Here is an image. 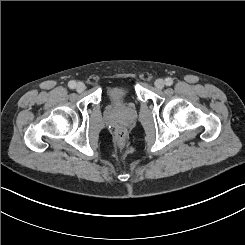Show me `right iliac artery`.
Returning a JSON list of instances; mask_svg holds the SVG:
<instances>
[{"instance_id":"82829eb1","label":"right iliac artery","mask_w":245,"mask_h":245,"mask_svg":"<svg viewBox=\"0 0 245 245\" xmlns=\"http://www.w3.org/2000/svg\"><path fill=\"white\" fill-rule=\"evenodd\" d=\"M69 88L74 89L76 87V82L75 81H70L68 83Z\"/></svg>"}]
</instances>
